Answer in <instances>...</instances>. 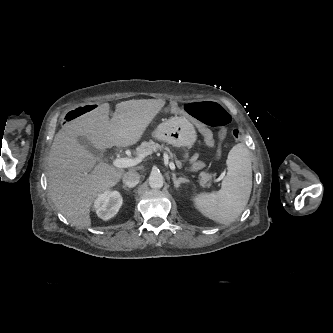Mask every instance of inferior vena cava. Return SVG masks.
Wrapping results in <instances>:
<instances>
[{
  "instance_id": "obj_1",
  "label": "inferior vena cava",
  "mask_w": 333,
  "mask_h": 333,
  "mask_svg": "<svg viewBox=\"0 0 333 333\" xmlns=\"http://www.w3.org/2000/svg\"><path fill=\"white\" fill-rule=\"evenodd\" d=\"M140 180V175L135 170H130L123 175V183L129 187H135Z\"/></svg>"
}]
</instances>
